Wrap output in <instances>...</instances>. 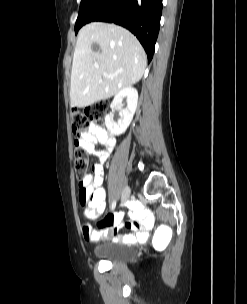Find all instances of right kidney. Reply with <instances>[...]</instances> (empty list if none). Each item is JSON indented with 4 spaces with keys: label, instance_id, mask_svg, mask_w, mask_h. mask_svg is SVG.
<instances>
[{
    "label": "right kidney",
    "instance_id": "right-kidney-1",
    "mask_svg": "<svg viewBox=\"0 0 247 304\" xmlns=\"http://www.w3.org/2000/svg\"><path fill=\"white\" fill-rule=\"evenodd\" d=\"M124 98H127V107L125 109H121L119 112L120 118L117 123L113 121L112 115H107L105 117V125L107 129L113 135H121L123 134L128 126L130 125L134 113L137 108L138 102V92L133 87H125L122 88L114 97L110 107L114 110L118 106H122V101Z\"/></svg>",
    "mask_w": 247,
    "mask_h": 304
}]
</instances>
